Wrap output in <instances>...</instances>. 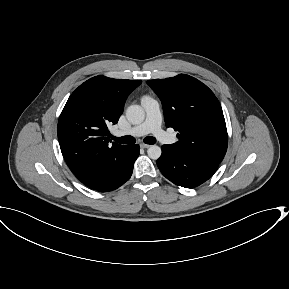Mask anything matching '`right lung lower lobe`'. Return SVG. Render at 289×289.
<instances>
[{"label": "right lung lower lobe", "instance_id": "98d812e1", "mask_svg": "<svg viewBox=\"0 0 289 289\" xmlns=\"http://www.w3.org/2000/svg\"><path fill=\"white\" fill-rule=\"evenodd\" d=\"M139 150V145H128L113 174L103 184L91 188L100 192H107L123 185L132 175L133 165L139 156Z\"/></svg>", "mask_w": 289, "mask_h": 289}]
</instances>
